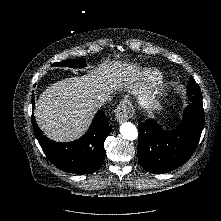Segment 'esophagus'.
I'll return each mask as SVG.
<instances>
[{
    "label": "esophagus",
    "mask_w": 221,
    "mask_h": 221,
    "mask_svg": "<svg viewBox=\"0 0 221 221\" xmlns=\"http://www.w3.org/2000/svg\"><path fill=\"white\" fill-rule=\"evenodd\" d=\"M133 114H134L133 107L125 99L120 103V105L116 109V113H115L116 120L119 123H122V122L128 120L129 118H131L133 116Z\"/></svg>",
    "instance_id": "esophagus-1"
}]
</instances>
